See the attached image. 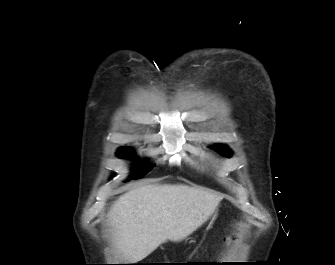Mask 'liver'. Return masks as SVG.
<instances>
[{
	"instance_id": "liver-1",
	"label": "liver",
	"mask_w": 335,
	"mask_h": 265,
	"mask_svg": "<svg viewBox=\"0 0 335 265\" xmlns=\"http://www.w3.org/2000/svg\"><path fill=\"white\" fill-rule=\"evenodd\" d=\"M221 197L183 184H148L129 190L109 212L120 258L138 262L168 240L180 242L215 212Z\"/></svg>"
}]
</instances>
